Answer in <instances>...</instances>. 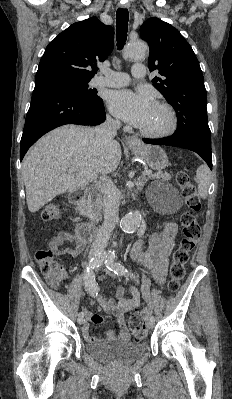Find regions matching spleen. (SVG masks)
<instances>
[{"label": "spleen", "instance_id": "3e777b00", "mask_svg": "<svg viewBox=\"0 0 232 399\" xmlns=\"http://www.w3.org/2000/svg\"><path fill=\"white\" fill-rule=\"evenodd\" d=\"M195 180L198 184V194L205 200L208 196V190L211 182V172L208 168V166H205V164H202V166H199Z\"/></svg>", "mask_w": 232, "mask_h": 399}]
</instances>
